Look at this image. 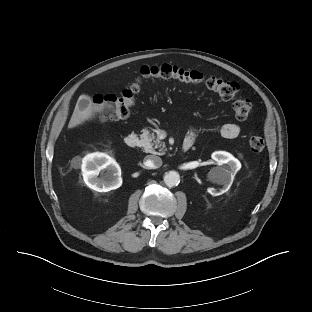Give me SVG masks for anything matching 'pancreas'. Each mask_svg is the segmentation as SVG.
I'll return each instance as SVG.
<instances>
[{
    "label": "pancreas",
    "mask_w": 312,
    "mask_h": 312,
    "mask_svg": "<svg viewBox=\"0 0 312 312\" xmlns=\"http://www.w3.org/2000/svg\"><path fill=\"white\" fill-rule=\"evenodd\" d=\"M141 146L144 148L145 152L164 155L166 152V146L158 138H156L154 133H150L148 130H144L140 135ZM158 149V151H156Z\"/></svg>",
    "instance_id": "cf45deb5"
}]
</instances>
